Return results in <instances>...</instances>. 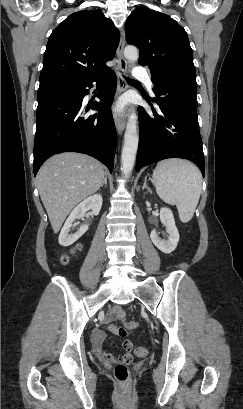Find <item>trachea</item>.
I'll return each mask as SVG.
<instances>
[{"instance_id": "3493384b", "label": "trachea", "mask_w": 243, "mask_h": 409, "mask_svg": "<svg viewBox=\"0 0 243 409\" xmlns=\"http://www.w3.org/2000/svg\"><path fill=\"white\" fill-rule=\"evenodd\" d=\"M124 78H125L127 81H134V80H132V79H130V78H127L126 76H124Z\"/></svg>"}]
</instances>
